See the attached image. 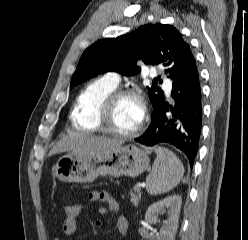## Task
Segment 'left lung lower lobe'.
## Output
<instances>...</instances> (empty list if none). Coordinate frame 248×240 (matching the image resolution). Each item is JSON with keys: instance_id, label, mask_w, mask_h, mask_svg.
I'll use <instances>...</instances> for the list:
<instances>
[{"instance_id": "1", "label": "left lung lower lobe", "mask_w": 248, "mask_h": 240, "mask_svg": "<svg viewBox=\"0 0 248 240\" xmlns=\"http://www.w3.org/2000/svg\"><path fill=\"white\" fill-rule=\"evenodd\" d=\"M171 96L175 105L163 103L154 111L148 129L135 141L147 146L171 144L187 156L192 167L202 128V93L197 66L173 83ZM169 110L172 115L166 114Z\"/></svg>"}]
</instances>
